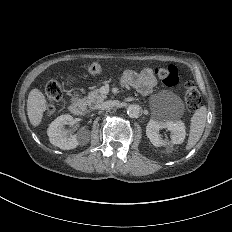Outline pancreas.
Masks as SVG:
<instances>
[{"label": "pancreas", "mask_w": 232, "mask_h": 232, "mask_svg": "<svg viewBox=\"0 0 232 232\" xmlns=\"http://www.w3.org/2000/svg\"><path fill=\"white\" fill-rule=\"evenodd\" d=\"M106 97V94H103L98 89H96L89 92V94L82 101H84L85 105L90 109H96L100 106Z\"/></svg>", "instance_id": "1"}]
</instances>
